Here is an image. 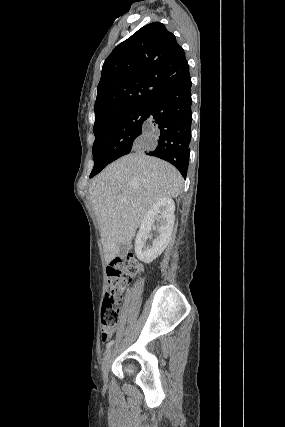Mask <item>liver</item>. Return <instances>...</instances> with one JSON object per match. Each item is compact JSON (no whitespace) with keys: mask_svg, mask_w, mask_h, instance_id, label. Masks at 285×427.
Wrapping results in <instances>:
<instances>
[{"mask_svg":"<svg viewBox=\"0 0 285 427\" xmlns=\"http://www.w3.org/2000/svg\"><path fill=\"white\" fill-rule=\"evenodd\" d=\"M182 184L174 166L140 151L114 161L93 180L89 194L107 263L134 238L148 210L161 198L178 197Z\"/></svg>","mask_w":285,"mask_h":427,"instance_id":"6515ba94","label":"liver"}]
</instances>
